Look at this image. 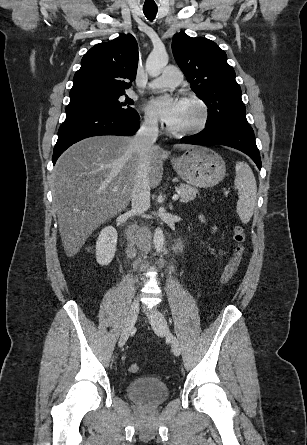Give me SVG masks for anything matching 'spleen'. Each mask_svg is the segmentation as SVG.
<instances>
[{
	"instance_id": "1",
	"label": "spleen",
	"mask_w": 307,
	"mask_h": 445,
	"mask_svg": "<svg viewBox=\"0 0 307 445\" xmlns=\"http://www.w3.org/2000/svg\"><path fill=\"white\" fill-rule=\"evenodd\" d=\"M234 184L238 188L236 212L246 225L255 210L257 200L256 178L247 162H236Z\"/></svg>"
}]
</instances>
